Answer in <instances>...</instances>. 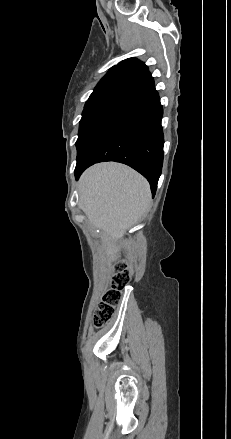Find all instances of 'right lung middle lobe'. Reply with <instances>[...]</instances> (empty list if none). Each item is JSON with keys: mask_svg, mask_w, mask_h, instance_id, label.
<instances>
[{"mask_svg": "<svg viewBox=\"0 0 231 439\" xmlns=\"http://www.w3.org/2000/svg\"><path fill=\"white\" fill-rule=\"evenodd\" d=\"M141 113L135 96H113L86 103L76 141L77 160L106 132Z\"/></svg>", "mask_w": 231, "mask_h": 439, "instance_id": "obj_1", "label": "right lung middle lobe"}]
</instances>
